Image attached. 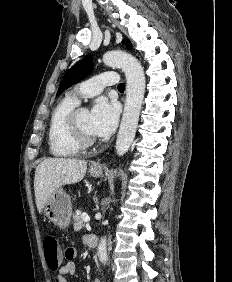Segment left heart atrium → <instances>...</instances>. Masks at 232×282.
I'll use <instances>...</instances> for the list:
<instances>
[{
  "instance_id": "left-heart-atrium-1",
  "label": "left heart atrium",
  "mask_w": 232,
  "mask_h": 282,
  "mask_svg": "<svg viewBox=\"0 0 232 282\" xmlns=\"http://www.w3.org/2000/svg\"><path fill=\"white\" fill-rule=\"evenodd\" d=\"M119 117V107L107 99H98L90 112V128L98 137H106L115 130Z\"/></svg>"
}]
</instances>
